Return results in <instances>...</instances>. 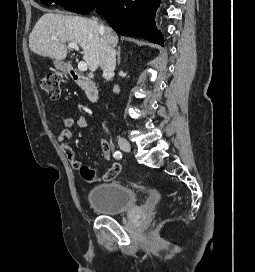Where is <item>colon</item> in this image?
I'll return each instance as SVG.
<instances>
[{"mask_svg":"<svg viewBox=\"0 0 255 272\" xmlns=\"http://www.w3.org/2000/svg\"><path fill=\"white\" fill-rule=\"evenodd\" d=\"M40 85L42 90L45 91L51 99H57L59 97V75L57 73L44 74L41 78ZM81 175L85 179H91L93 176L92 172L87 168L81 169Z\"/></svg>","mask_w":255,"mask_h":272,"instance_id":"1","label":"colon"}]
</instances>
